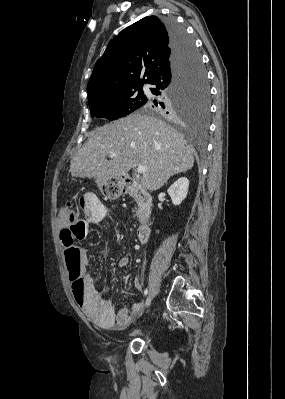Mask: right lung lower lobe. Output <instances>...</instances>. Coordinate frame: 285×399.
Returning <instances> with one entry per match:
<instances>
[{
  "instance_id": "right-lung-lower-lobe-1",
  "label": "right lung lower lobe",
  "mask_w": 285,
  "mask_h": 399,
  "mask_svg": "<svg viewBox=\"0 0 285 399\" xmlns=\"http://www.w3.org/2000/svg\"><path fill=\"white\" fill-rule=\"evenodd\" d=\"M165 26L169 34L172 54L168 67L160 71L151 82L152 85H155L154 88H151L154 95L170 93L191 63L195 51V44L183 27L174 20L166 21ZM159 104L166 109L172 107L170 100H165V103L160 102Z\"/></svg>"
}]
</instances>
